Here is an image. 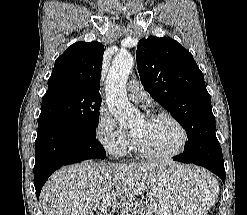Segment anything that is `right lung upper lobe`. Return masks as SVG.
<instances>
[{"mask_svg": "<svg viewBox=\"0 0 247 215\" xmlns=\"http://www.w3.org/2000/svg\"><path fill=\"white\" fill-rule=\"evenodd\" d=\"M104 46L99 42H77L55 61L48 91L67 88L83 95L100 97L99 84Z\"/></svg>", "mask_w": 247, "mask_h": 215, "instance_id": "obj_1", "label": "right lung upper lobe"}]
</instances>
